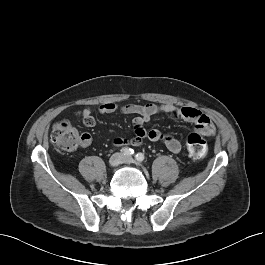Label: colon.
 I'll list each match as a JSON object with an SVG mask.
<instances>
[{"mask_svg":"<svg viewBox=\"0 0 265 265\" xmlns=\"http://www.w3.org/2000/svg\"><path fill=\"white\" fill-rule=\"evenodd\" d=\"M51 141L55 147L62 152H72L78 148L82 141V136L68 122L56 124L51 132ZM187 149L194 159H202L207 153V142L204 136L197 132H192L186 139Z\"/></svg>","mask_w":265,"mask_h":265,"instance_id":"colon-1","label":"colon"}]
</instances>
